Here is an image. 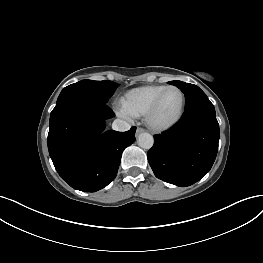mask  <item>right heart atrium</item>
<instances>
[{"mask_svg":"<svg viewBox=\"0 0 263 263\" xmlns=\"http://www.w3.org/2000/svg\"><path fill=\"white\" fill-rule=\"evenodd\" d=\"M118 113H119V115H121L122 117H128V115H127L122 109H119V110H118Z\"/></svg>","mask_w":263,"mask_h":263,"instance_id":"right-heart-atrium-1","label":"right heart atrium"}]
</instances>
